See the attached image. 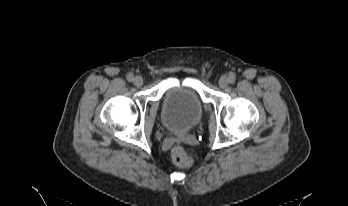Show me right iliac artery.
Listing matches in <instances>:
<instances>
[{"instance_id":"right-iliac-artery-1","label":"right iliac artery","mask_w":348,"mask_h":206,"mask_svg":"<svg viewBox=\"0 0 348 206\" xmlns=\"http://www.w3.org/2000/svg\"><path fill=\"white\" fill-rule=\"evenodd\" d=\"M133 79H134V77H133L132 74H128V75H127V80H128L129 82L133 81Z\"/></svg>"}]
</instances>
